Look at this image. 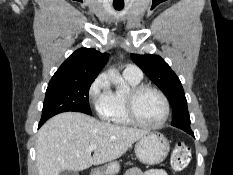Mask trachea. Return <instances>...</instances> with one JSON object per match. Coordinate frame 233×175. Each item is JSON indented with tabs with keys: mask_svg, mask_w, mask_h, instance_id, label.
<instances>
[{
	"mask_svg": "<svg viewBox=\"0 0 233 175\" xmlns=\"http://www.w3.org/2000/svg\"><path fill=\"white\" fill-rule=\"evenodd\" d=\"M113 7L116 9V10H122L124 8V4H120V5H116V4H113Z\"/></svg>",
	"mask_w": 233,
	"mask_h": 175,
	"instance_id": "1",
	"label": "trachea"
}]
</instances>
